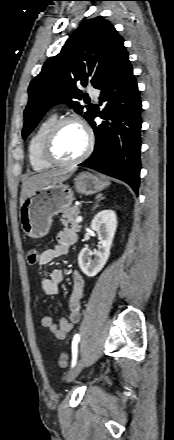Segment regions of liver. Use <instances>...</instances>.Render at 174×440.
Listing matches in <instances>:
<instances>
[{"instance_id": "6515ba94", "label": "liver", "mask_w": 174, "mask_h": 440, "mask_svg": "<svg viewBox=\"0 0 174 440\" xmlns=\"http://www.w3.org/2000/svg\"><path fill=\"white\" fill-rule=\"evenodd\" d=\"M69 178V175L65 171L52 170L44 173L34 175L27 179L22 185V191L20 195V207L27 197H29L36 190L50 185L63 182Z\"/></svg>"}]
</instances>
